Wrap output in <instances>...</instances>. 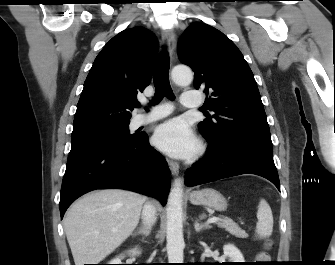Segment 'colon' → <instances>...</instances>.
Masks as SVG:
<instances>
[{
  "label": "colon",
  "instance_id": "obj_1",
  "mask_svg": "<svg viewBox=\"0 0 335 265\" xmlns=\"http://www.w3.org/2000/svg\"><path fill=\"white\" fill-rule=\"evenodd\" d=\"M259 259H260L261 261H266V260L268 259V255H267V253H266V252H262V253H260V254H259Z\"/></svg>",
  "mask_w": 335,
  "mask_h": 265
}]
</instances>
